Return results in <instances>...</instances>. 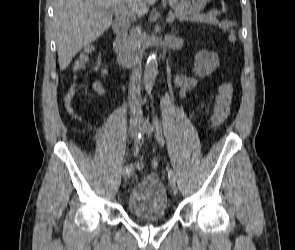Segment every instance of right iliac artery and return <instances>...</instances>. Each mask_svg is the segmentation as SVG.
Listing matches in <instances>:
<instances>
[{"mask_svg":"<svg viewBox=\"0 0 295 250\" xmlns=\"http://www.w3.org/2000/svg\"><path fill=\"white\" fill-rule=\"evenodd\" d=\"M136 134H137L138 136L136 137L135 147L133 148L134 155H135V154H140V153H141L140 148H142V143H140V142L143 141V138H144L143 133H141L140 131H138ZM132 169H133V164H132V163L128 164V165L125 166V168H124V170L127 171V172H131Z\"/></svg>","mask_w":295,"mask_h":250,"instance_id":"1","label":"right iliac artery"}]
</instances>
